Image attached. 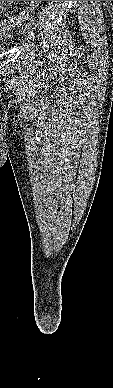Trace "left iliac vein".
<instances>
[{
    "label": "left iliac vein",
    "instance_id": "left-iliac-vein-1",
    "mask_svg": "<svg viewBox=\"0 0 113 388\" xmlns=\"http://www.w3.org/2000/svg\"><path fill=\"white\" fill-rule=\"evenodd\" d=\"M24 36H25V39L29 43L33 42L34 36H33V31H32V26L31 25H29V24L25 25V27H24Z\"/></svg>",
    "mask_w": 113,
    "mask_h": 388
}]
</instances>
